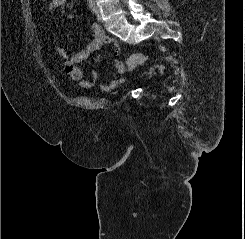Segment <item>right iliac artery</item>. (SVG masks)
Here are the masks:
<instances>
[{"label":"right iliac artery","instance_id":"obj_1","mask_svg":"<svg viewBox=\"0 0 245 239\" xmlns=\"http://www.w3.org/2000/svg\"><path fill=\"white\" fill-rule=\"evenodd\" d=\"M89 2H88V4H89V8L91 9V11L93 12V13H95V3H94V1L93 0H88Z\"/></svg>","mask_w":245,"mask_h":239}]
</instances>
